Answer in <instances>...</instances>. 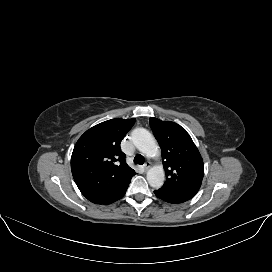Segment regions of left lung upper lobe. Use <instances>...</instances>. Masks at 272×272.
<instances>
[{"label":"left lung upper lobe","instance_id":"obj_1","mask_svg":"<svg viewBox=\"0 0 272 272\" xmlns=\"http://www.w3.org/2000/svg\"><path fill=\"white\" fill-rule=\"evenodd\" d=\"M160 144L166 182L161 189L195 196L203 175V159L189 134L177 123L150 118Z\"/></svg>","mask_w":272,"mask_h":272}]
</instances>
